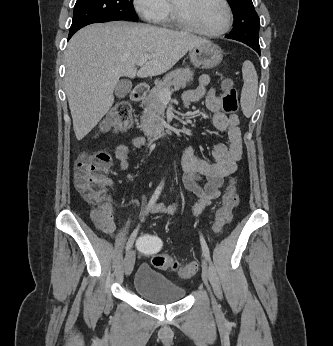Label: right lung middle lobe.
I'll list each match as a JSON object with an SVG mask.
<instances>
[{
  "mask_svg": "<svg viewBox=\"0 0 333 346\" xmlns=\"http://www.w3.org/2000/svg\"><path fill=\"white\" fill-rule=\"evenodd\" d=\"M137 19L133 0H77L69 33L92 23Z\"/></svg>",
  "mask_w": 333,
  "mask_h": 346,
  "instance_id": "obj_1",
  "label": "right lung middle lobe"
}]
</instances>
